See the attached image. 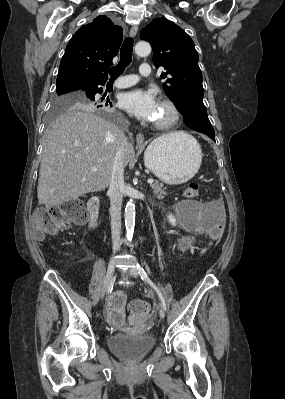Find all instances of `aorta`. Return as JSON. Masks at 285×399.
Returning <instances> with one entry per match:
<instances>
[{
	"instance_id": "aorta-1",
	"label": "aorta",
	"mask_w": 285,
	"mask_h": 399,
	"mask_svg": "<svg viewBox=\"0 0 285 399\" xmlns=\"http://www.w3.org/2000/svg\"><path fill=\"white\" fill-rule=\"evenodd\" d=\"M151 52V46L148 42L140 41L135 45V53L138 56H147ZM125 227L128 240H131L134 233L135 226V204L134 200L130 199L125 207Z\"/></svg>"
}]
</instances>
